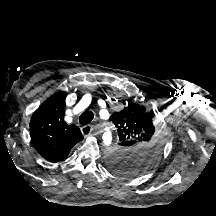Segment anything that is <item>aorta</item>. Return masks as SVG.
<instances>
[{
    "label": "aorta",
    "instance_id": "obj_1",
    "mask_svg": "<svg viewBox=\"0 0 216 216\" xmlns=\"http://www.w3.org/2000/svg\"><path fill=\"white\" fill-rule=\"evenodd\" d=\"M103 144L107 147L111 145L112 142V133L109 129H106L102 136Z\"/></svg>",
    "mask_w": 216,
    "mask_h": 216
}]
</instances>
